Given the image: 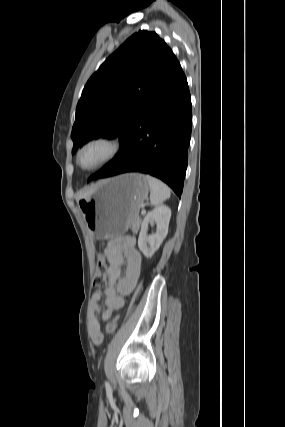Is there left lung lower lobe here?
<instances>
[{
  "label": "left lung lower lobe",
  "mask_w": 285,
  "mask_h": 427,
  "mask_svg": "<svg viewBox=\"0 0 285 427\" xmlns=\"http://www.w3.org/2000/svg\"><path fill=\"white\" fill-rule=\"evenodd\" d=\"M191 97L183 70L171 54L119 155L88 181L126 172L155 176L180 197L191 137Z\"/></svg>",
  "instance_id": "obj_1"
}]
</instances>
